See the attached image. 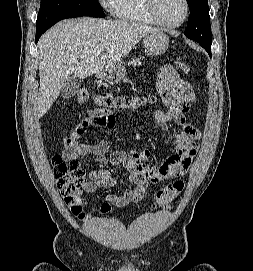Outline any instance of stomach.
Masks as SVG:
<instances>
[{"label": "stomach", "instance_id": "stomach-1", "mask_svg": "<svg viewBox=\"0 0 253 271\" xmlns=\"http://www.w3.org/2000/svg\"><path fill=\"white\" fill-rule=\"evenodd\" d=\"M144 48L149 55L159 56L166 52L169 47V38L161 31H154L145 35ZM126 75L125 67L121 64L114 65L109 69L97 74L104 82L109 84L119 83Z\"/></svg>", "mask_w": 253, "mask_h": 271}]
</instances>
